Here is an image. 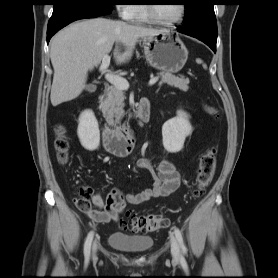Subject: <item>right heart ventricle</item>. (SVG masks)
<instances>
[{
    "label": "right heart ventricle",
    "instance_id": "1",
    "mask_svg": "<svg viewBox=\"0 0 278 278\" xmlns=\"http://www.w3.org/2000/svg\"><path fill=\"white\" fill-rule=\"evenodd\" d=\"M131 20H133L134 22H137V23H148L149 22L145 5H143V4L135 5L134 13H133Z\"/></svg>",
    "mask_w": 278,
    "mask_h": 278
}]
</instances>
